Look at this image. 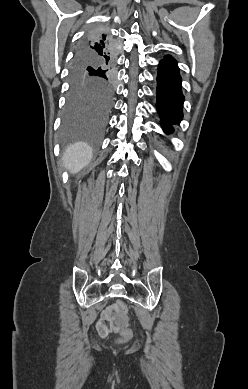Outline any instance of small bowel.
Wrapping results in <instances>:
<instances>
[{"label":"small bowel","mask_w":248,"mask_h":389,"mask_svg":"<svg viewBox=\"0 0 248 389\" xmlns=\"http://www.w3.org/2000/svg\"><path fill=\"white\" fill-rule=\"evenodd\" d=\"M115 309V306H109L103 311L105 317H111L112 311Z\"/></svg>","instance_id":"1"}]
</instances>
